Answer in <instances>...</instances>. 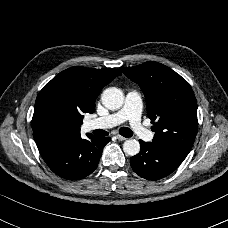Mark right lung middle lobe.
Wrapping results in <instances>:
<instances>
[{
  "instance_id": "right-lung-middle-lobe-1",
  "label": "right lung middle lobe",
  "mask_w": 228,
  "mask_h": 228,
  "mask_svg": "<svg viewBox=\"0 0 228 228\" xmlns=\"http://www.w3.org/2000/svg\"><path fill=\"white\" fill-rule=\"evenodd\" d=\"M82 117L58 92L39 93L32 118V128L44 137H62L78 125Z\"/></svg>"
}]
</instances>
